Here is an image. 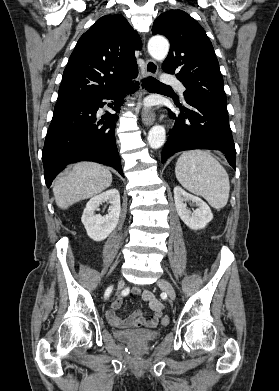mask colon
Returning <instances> with one entry per match:
<instances>
[{"instance_id": "colon-1", "label": "colon", "mask_w": 279, "mask_h": 391, "mask_svg": "<svg viewBox=\"0 0 279 391\" xmlns=\"http://www.w3.org/2000/svg\"><path fill=\"white\" fill-rule=\"evenodd\" d=\"M163 325H167L169 323V318L167 316H164L161 320Z\"/></svg>"}]
</instances>
